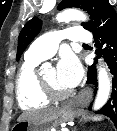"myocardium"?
<instances>
[{"label":"myocardium","mask_w":117,"mask_h":131,"mask_svg":"<svg viewBox=\"0 0 117 131\" xmlns=\"http://www.w3.org/2000/svg\"><path fill=\"white\" fill-rule=\"evenodd\" d=\"M41 88L44 92V94L47 96L48 99L51 100H63L68 98L72 91H59L56 88H54L50 83H48L43 76L39 77Z\"/></svg>","instance_id":"f54148a6"}]
</instances>
